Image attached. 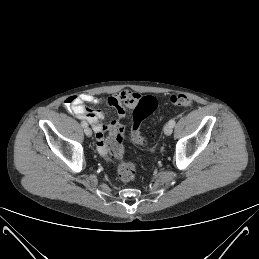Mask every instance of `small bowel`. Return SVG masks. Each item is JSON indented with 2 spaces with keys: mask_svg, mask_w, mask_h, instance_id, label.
Segmentation results:
<instances>
[{
  "mask_svg": "<svg viewBox=\"0 0 259 259\" xmlns=\"http://www.w3.org/2000/svg\"><path fill=\"white\" fill-rule=\"evenodd\" d=\"M140 95L131 92L128 90L120 91L113 95H110L105 99V102L108 106L115 108L120 119L125 118L127 108H133L136 106ZM103 100L95 97L91 94H81L79 96H72L65 100V106L73 112L78 118L87 120L95 134H96V143L98 150L101 154L105 153V137L104 133L107 129V126L103 123L104 113L101 110L90 109L85 104H99ZM117 121H113L110 124V127Z\"/></svg>",
  "mask_w": 259,
  "mask_h": 259,
  "instance_id": "small-bowel-1",
  "label": "small bowel"
}]
</instances>
